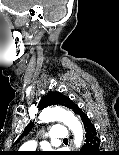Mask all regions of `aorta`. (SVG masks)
I'll return each mask as SVG.
<instances>
[{"instance_id": "aorta-1", "label": "aorta", "mask_w": 119, "mask_h": 155, "mask_svg": "<svg viewBox=\"0 0 119 155\" xmlns=\"http://www.w3.org/2000/svg\"><path fill=\"white\" fill-rule=\"evenodd\" d=\"M40 120L45 123L53 121L62 122L72 131L75 146L77 148L81 146L83 141V128L79 120L70 111L60 106L47 107L41 112Z\"/></svg>"}]
</instances>
